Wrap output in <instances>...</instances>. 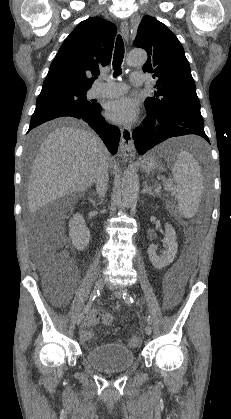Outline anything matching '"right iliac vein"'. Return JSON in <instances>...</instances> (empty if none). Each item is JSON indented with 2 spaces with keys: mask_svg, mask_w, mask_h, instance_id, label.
<instances>
[{
  "mask_svg": "<svg viewBox=\"0 0 231 419\" xmlns=\"http://www.w3.org/2000/svg\"><path fill=\"white\" fill-rule=\"evenodd\" d=\"M103 285H104V279L103 278H98L95 282L94 290L102 289ZM83 319H84V313L82 312L77 316V320H76L77 325H80L82 323Z\"/></svg>",
  "mask_w": 231,
  "mask_h": 419,
  "instance_id": "obj_1",
  "label": "right iliac vein"
}]
</instances>
